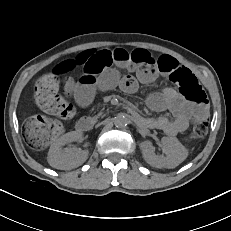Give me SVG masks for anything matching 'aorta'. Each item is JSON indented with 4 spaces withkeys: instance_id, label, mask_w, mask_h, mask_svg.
I'll return each instance as SVG.
<instances>
[{
    "instance_id": "aorta-1",
    "label": "aorta",
    "mask_w": 231,
    "mask_h": 231,
    "mask_svg": "<svg viewBox=\"0 0 231 231\" xmlns=\"http://www.w3.org/2000/svg\"><path fill=\"white\" fill-rule=\"evenodd\" d=\"M114 124L118 128L126 127L128 124V119L124 115H117L114 118Z\"/></svg>"
}]
</instances>
